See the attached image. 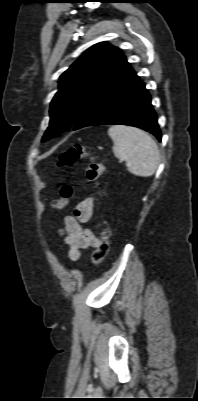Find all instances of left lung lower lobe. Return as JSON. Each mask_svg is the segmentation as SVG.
I'll return each instance as SVG.
<instances>
[{"instance_id": "0a47b994", "label": "left lung lower lobe", "mask_w": 198, "mask_h": 401, "mask_svg": "<svg viewBox=\"0 0 198 401\" xmlns=\"http://www.w3.org/2000/svg\"><path fill=\"white\" fill-rule=\"evenodd\" d=\"M105 124L135 126L152 133L161 141L151 97L127 61L90 102L72 128L77 130Z\"/></svg>"}]
</instances>
